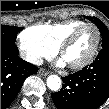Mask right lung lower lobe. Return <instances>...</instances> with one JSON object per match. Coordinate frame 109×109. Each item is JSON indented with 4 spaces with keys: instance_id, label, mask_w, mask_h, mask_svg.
<instances>
[{
    "instance_id": "right-lung-lower-lobe-1",
    "label": "right lung lower lobe",
    "mask_w": 109,
    "mask_h": 109,
    "mask_svg": "<svg viewBox=\"0 0 109 109\" xmlns=\"http://www.w3.org/2000/svg\"><path fill=\"white\" fill-rule=\"evenodd\" d=\"M17 46L1 41V109H6L17 96L25 79L38 68L18 56Z\"/></svg>"
}]
</instances>
